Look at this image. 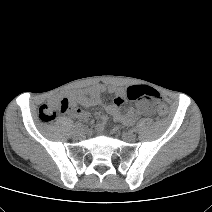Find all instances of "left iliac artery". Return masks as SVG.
I'll return each instance as SVG.
<instances>
[{
	"label": "left iliac artery",
	"mask_w": 212,
	"mask_h": 212,
	"mask_svg": "<svg viewBox=\"0 0 212 212\" xmlns=\"http://www.w3.org/2000/svg\"><path fill=\"white\" fill-rule=\"evenodd\" d=\"M133 130L136 132L137 131V127H134Z\"/></svg>",
	"instance_id": "obj_1"
}]
</instances>
